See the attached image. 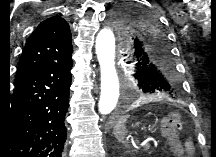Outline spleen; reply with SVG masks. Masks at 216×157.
Listing matches in <instances>:
<instances>
[{"label":"spleen","instance_id":"obj_1","mask_svg":"<svg viewBox=\"0 0 216 157\" xmlns=\"http://www.w3.org/2000/svg\"><path fill=\"white\" fill-rule=\"evenodd\" d=\"M129 116H125L123 118H121L115 125L114 130H113V134L116 137V139L123 143L124 145L128 146V141L125 140L126 136H127V130H126V126L125 123L127 121Z\"/></svg>","mask_w":216,"mask_h":157}]
</instances>
